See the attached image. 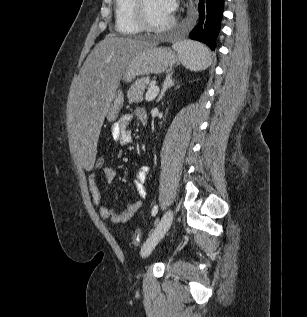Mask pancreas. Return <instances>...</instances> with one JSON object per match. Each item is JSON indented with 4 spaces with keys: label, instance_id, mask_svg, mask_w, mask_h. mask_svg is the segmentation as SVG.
Returning a JSON list of instances; mask_svg holds the SVG:
<instances>
[{
    "label": "pancreas",
    "instance_id": "1",
    "mask_svg": "<svg viewBox=\"0 0 307 317\" xmlns=\"http://www.w3.org/2000/svg\"><path fill=\"white\" fill-rule=\"evenodd\" d=\"M150 83L149 77H143L136 80L127 91L129 103L142 102L147 85Z\"/></svg>",
    "mask_w": 307,
    "mask_h": 317
}]
</instances>
